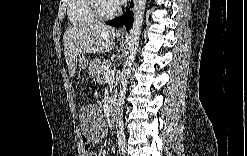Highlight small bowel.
<instances>
[{
  "mask_svg": "<svg viewBox=\"0 0 247 156\" xmlns=\"http://www.w3.org/2000/svg\"><path fill=\"white\" fill-rule=\"evenodd\" d=\"M85 153L87 156H94L96 153L88 148H85Z\"/></svg>",
  "mask_w": 247,
  "mask_h": 156,
  "instance_id": "1",
  "label": "small bowel"
}]
</instances>
